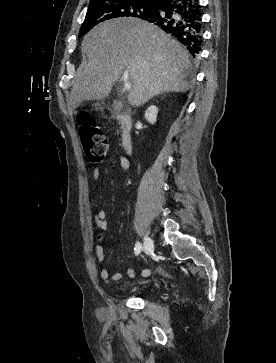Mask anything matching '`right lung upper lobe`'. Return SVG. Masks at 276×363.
<instances>
[{
	"mask_svg": "<svg viewBox=\"0 0 276 363\" xmlns=\"http://www.w3.org/2000/svg\"><path fill=\"white\" fill-rule=\"evenodd\" d=\"M97 1H101V0H91L90 3L97 2ZM135 1L147 2V3H149V4L153 5V6L158 7L162 3V1H164V0H135Z\"/></svg>",
	"mask_w": 276,
	"mask_h": 363,
	"instance_id": "obj_1",
	"label": "right lung upper lobe"
}]
</instances>
